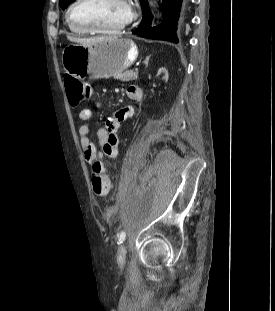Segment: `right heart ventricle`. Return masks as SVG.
<instances>
[{"instance_id":"1","label":"right heart ventricle","mask_w":275,"mask_h":311,"mask_svg":"<svg viewBox=\"0 0 275 311\" xmlns=\"http://www.w3.org/2000/svg\"><path fill=\"white\" fill-rule=\"evenodd\" d=\"M67 25H68L70 31H72L73 33H76V34H85L86 33V32H84V31H82L80 29L71 27L68 23H67Z\"/></svg>"}]
</instances>
